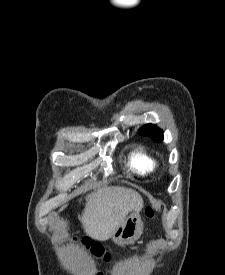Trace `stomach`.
<instances>
[{
  "label": "stomach",
  "mask_w": 225,
  "mask_h": 275,
  "mask_svg": "<svg viewBox=\"0 0 225 275\" xmlns=\"http://www.w3.org/2000/svg\"><path fill=\"white\" fill-rule=\"evenodd\" d=\"M143 233V222L139 211H133L112 234V239L119 245L132 244Z\"/></svg>",
  "instance_id": "obj_1"
}]
</instances>
